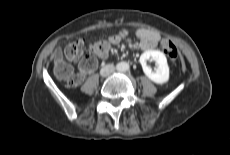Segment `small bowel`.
<instances>
[{
	"instance_id": "obj_1",
	"label": "small bowel",
	"mask_w": 230,
	"mask_h": 155,
	"mask_svg": "<svg viewBox=\"0 0 230 155\" xmlns=\"http://www.w3.org/2000/svg\"><path fill=\"white\" fill-rule=\"evenodd\" d=\"M128 36V31L123 30L118 34L110 36L108 39V43L112 45L119 44L122 40H124ZM136 38H137V45L143 50H153L157 47L158 42L160 41V34L157 31L147 29V28H140L136 30ZM108 55V51L102 55L101 58H106ZM92 71V70H91ZM81 72L86 73L90 71H84L81 69Z\"/></svg>"
}]
</instances>
